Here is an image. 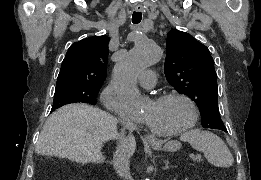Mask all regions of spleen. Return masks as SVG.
Returning a JSON list of instances; mask_svg holds the SVG:
<instances>
[{"instance_id":"3e777b00","label":"spleen","mask_w":261,"mask_h":180,"mask_svg":"<svg viewBox=\"0 0 261 180\" xmlns=\"http://www.w3.org/2000/svg\"><path fill=\"white\" fill-rule=\"evenodd\" d=\"M182 142H189L190 146L203 152L206 160L216 168H230L234 162V158L225 142L212 134V132H200V130H189L181 134Z\"/></svg>"}]
</instances>
